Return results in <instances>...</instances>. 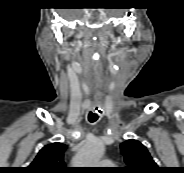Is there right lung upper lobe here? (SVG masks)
Wrapping results in <instances>:
<instances>
[{"instance_id": "right-lung-upper-lobe-1", "label": "right lung upper lobe", "mask_w": 184, "mask_h": 173, "mask_svg": "<svg viewBox=\"0 0 184 173\" xmlns=\"http://www.w3.org/2000/svg\"><path fill=\"white\" fill-rule=\"evenodd\" d=\"M65 150L66 145L58 142L44 146L25 172L68 173V168L64 164Z\"/></svg>"}]
</instances>
